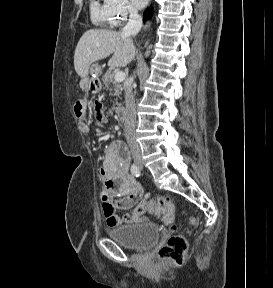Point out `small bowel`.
<instances>
[{
  "label": "small bowel",
  "mask_w": 273,
  "mask_h": 288,
  "mask_svg": "<svg viewBox=\"0 0 273 288\" xmlns=\"http://www.w3.org/2000/svg\"><path fill=\"white\" fill-rule=\"evenodd\" d=\"M93 113L97 125H102L105 122L103 110L100 114ZM80 129L83 133H89L92 126L83 119ZM100 177L104 183L100 199L107 224L117 227L141 222L146 212L143 202L148 200L149 195L144 194L141 184L129 174V153L121 141L113 140L105 145ZM120 210L131 212L119 215Z\"/></svg>",
  "instance_id": "obj_1"
}]
</instances>
